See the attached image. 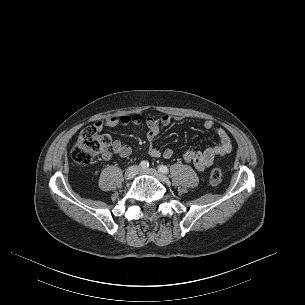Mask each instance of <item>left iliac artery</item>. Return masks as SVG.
Returning <instances> with one entry per match:
<instances>
[{"label": "left iliac artery", "mask_w": 305, "mask_h": 305, "mask_svg": "<svg viewBox=\"0 0 305 305\" xmlns=\"http://www.w3.org/2000/svg\"><path fill=\"white\" fill-rule=\"evenodd\" d=\"M158 170H159L160 172H162V173H165V174H167V173L169 172L167 166H165V165H160V166L158 167Z\"/></svg>", "instance_id": "1"}]
</instances>
